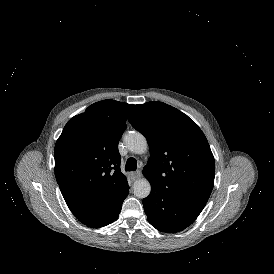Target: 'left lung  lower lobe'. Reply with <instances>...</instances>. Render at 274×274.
I'll use <instances>...</instances> for the list:
<instances>
[{
	"label": "left lung lower lobe",
	"instance_id": "obj_1",
	"mask_svg": "<svg viewBox=\"0 0 274 274\" xmlns=\"http://www.w3.org/2000/svg\"><path fill=\"white\" fill-rule=\"evenodd\" d=\"M206 203L184 198L151 183V193L143 199L148 221L158 230L179 232L198 217Z\"/></svg>",
	"mask_w": 274,
	"mask_h": 274
}]
</instances>
